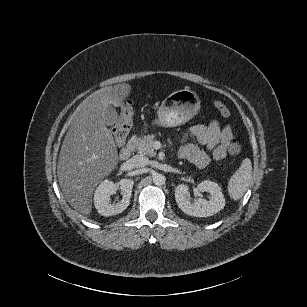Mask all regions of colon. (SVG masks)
<instances>
[{"label":"colon","mask_w":307,"mask_h":307,"mask_svg":"<svg viewBox=\"0 0 307 307\" xmlns=\"http://www.w3.org/2000/svg\"><path fill=\"white\" fill-rule=\"evenodd\" d=\"M213 105L223 117L230 116V110L223 102L216 100L213 102ZM131 122L132 107L130 103H127L122 112L119 123L113 129V136L116 143L121 144L126 139L130 130ZM241 149V143L237 139H234L229 146V153L234 156L239 154Z\"/></svg>","instance_id":"colon-1"}]
</instances>
